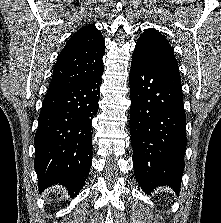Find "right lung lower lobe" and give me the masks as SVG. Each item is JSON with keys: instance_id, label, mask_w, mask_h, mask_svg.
Returning a JSON list of instances; mask_svg holds the SVG:
<instances>
[{"instance_id": "1", "label": "right lung lower lobe", "mask_w": 221, "mask_h": 223, "mask_svg": "<svg viewBox=\"0 0 221 223\" xmlns=\"http://www.w3.org/2000/svg\"><path fill=\"white\" fill-rule=\"evenodd\" d=\"M103 71L46 95L34 139L40 191L59 183L74 197L84 186L92 164L91 120L98 111Z\"/></svg>"}]
</instances>
